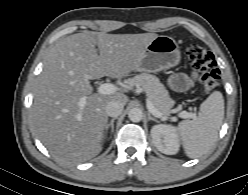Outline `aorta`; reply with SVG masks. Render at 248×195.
<instances>
[{
    "label": "aorta",
    "instance_id": "aorta-1",
    "mask_svg": "<svg viewBox=\"0 0 248 195\" xmlns=\"http://www.w3.org/2000/svg\"><path fill=\"white\" fill-rule=\"evenodd\" d=\"M128 117L132 122H140L142 120L143 117V113L142 110L139 108H132L129 112H128Z\"/></svg>",
    "mask_w": 248,
    "mask_h": 195
}]
</instances>
